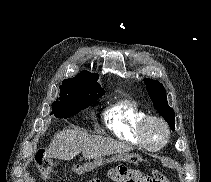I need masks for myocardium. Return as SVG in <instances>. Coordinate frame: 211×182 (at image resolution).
Instances as JSON below:
<instances>
[{"label": "myocardium", "instance_id": "1", "mask_svg": "<svg viewBox=\"0 0 211 182\" xmlns=\"http://www.w3.org/2000/svg\"><path fill=\"white\" fill-rule=\"evenodd\" d=\"M151 122H158L165 131V138L158 145H150L147 140V137H146V127ZM137 135H138V138H139L141 144L145 148H147L149 150H159V149L163 148L169 142L170 128H169L167 122L162 117L156 116V115H146L139 123L138 129H137Z\"/></svg>", "mask_w": 211, "mask_h": 182}]
</instances>
